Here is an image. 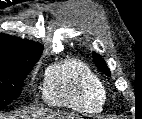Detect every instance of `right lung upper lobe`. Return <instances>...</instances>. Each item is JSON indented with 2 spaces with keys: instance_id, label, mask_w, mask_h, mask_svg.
<instances>
[{
  "instance_id": "cb5924a9",
  "label": "right lung upper lobe",
  "mask_w": 142,
  "mask_h": 119,
  "mask_svg": "<svg viewBox=\"0 0 142 119\" xmlns=\"http://www.w3.org/2000/svg\"><path fill=\"white\" fill-rule=\"evenodd\" d=\"M43 46L33 41L0 34V67L38 60Z\"/></svg>"
}]
</instances>
